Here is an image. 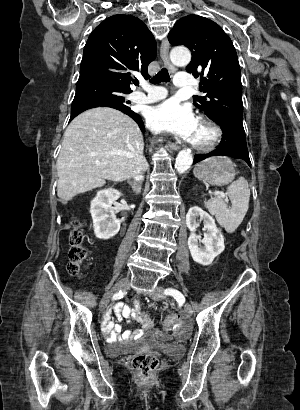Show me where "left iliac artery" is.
<instances>
[{
  "instance_id": "44dca946",
  "label": "left iliac artery",
  "mask_w": 300,
  "mask_h": 410,
  "mask_svg": "<svg viewBox=\"0 0 300 410\" xmlns=\"http://www.w3.org/2000/svg\"><path fill=\"white\" fill-rule=\"evenodd\" d=\"M164 294L173 296L177 301L185 302V297L183 296V294L174 288L165 289Z\"/></svg>"
}]
</instances>
